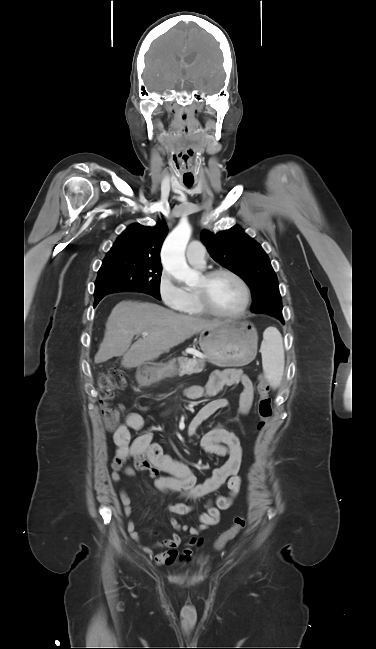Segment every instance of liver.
<instances>
[{
  "mask_svg": "<svg viewBox=\"0 0 376 649\" xmlns=\"http://www.w3.org/2000/svg\"><path fill=\"white\" fill-rule=\"evenodd\" d=\"M221 324L218 320L178 314L155 303L122 301L108 317L94 361L97 364L123 356L121 364L125 368L138 367L169 352L196 333ZM144 332L148 335L131 345L133 337Z\"/></svg>",
  "mask_w": 376,
  "mask_h": 649,
  "instance_id": "obj_1",
  "label": "liver"
}]
</instances>
